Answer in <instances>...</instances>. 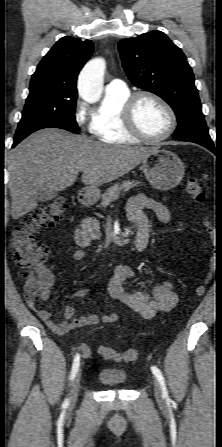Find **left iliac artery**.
Here are the masks:
<instances>
[{
	"instance_id": "1",
	"label": "left iliac artery",
	"mask_w": 222,
	"mask_h": 447,
	"mask_svg": "<svg viewBox=\"0 0 222 447\" xmlns=\"http://www.w3.org/2000/svg\"><path fill=\"white\" fill-rule=\"evenodd\" d=\"M151 371L156 376L158 381L160 382V385H161L162 391H163V397H165L167 400H169V396H168V391H167V388H166L165 380H164V377H163L161 371L156 366H152L151 367Z\"/></svg>"
}]
</instances>
